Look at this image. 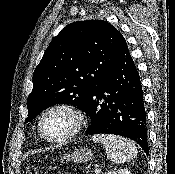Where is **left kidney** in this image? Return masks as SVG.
<instances>
[{
    "label": "left kidney",
    "mask_w": 175,
    "mask_h": 174,
    "mask_svg": "<svg viewBox=\"0 0 175 174\" xmlns=\"http://www.w3.org/2000/svg\"><path fill=\"white\" fill-rule=\"evenodd\" d=\"M106 174H131L127 169H119L117 171H110Z\"/></svg>",
    "instance_id": "1"
}]
</instances>
